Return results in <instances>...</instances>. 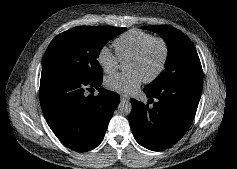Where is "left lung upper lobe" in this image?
I'll return each instance as SVG.
<instances>
[{
    "label": "left lung upper lobe",
    "mask_w": 237,
    "mask_h": 169,
    "mask_svg": "<svg viewBox=\"0 0 237 169\" xmlns=\"http://www.w3.org/2000/svg\"><path fill=\"white\" fill-rule=\"evenodd\" d=\"M142 28L159 34L168 47L165 70L146 88L155 89L178 81L203 79L196 49L184 33L167 25L143 26Z\"/></svg>",
    "instance_id": "left-lung-upper-lobe-1"
}]
</instances>
